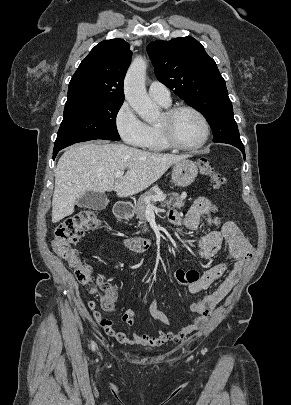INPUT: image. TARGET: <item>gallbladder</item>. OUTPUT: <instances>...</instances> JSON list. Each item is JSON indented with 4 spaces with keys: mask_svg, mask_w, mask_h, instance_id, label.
Instances as JSON below:
<instances>
[{
    "mask_svg": "<svg viewBox=\"0 0 291 405\" xmlns=\"http://www.w3.org/2000/svg\"><path fill=\"white\" fill-rule=\"evenodd\" d=\"M108 202L109 200L104 193L87 191L77 199L76 204L79 207L100 211L106 208Z\"/></svg>",
    "mask_w": 291,
    "mask_h": 405,
    "instance_id": "1",
    "label": "gallbladder"
}]
</instances>
